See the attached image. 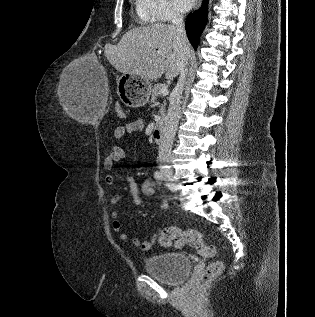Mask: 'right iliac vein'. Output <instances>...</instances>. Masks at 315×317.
Returning <instances> with one entry per match:
<instances>
[{
  "mask_svg": "<svg viewBox=\"0 0 315 317\" xmlns=\"http://www.w3.org/2000/svg\"><path fill=\"white\" fill-rule=\"evenodd\" d=\"M163 177L167 181L169 188L174 192L177 191L178 185L173 181L172 176L167 172H163Z\"/></svg>",
  "mask_w": 315,
  "mask_h": 317,
  "instance_id": "63e3f726",
  "label": "right iliac vein"
}]
</instances>
